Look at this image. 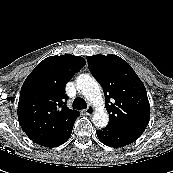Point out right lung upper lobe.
I'll return each mask as SVG.
<instances>
[{"mask_svg":"<svg viewBox=\"0 0 173 173\" xmlns=\"http://www.w3.org/2000/svg\"><path fill=\"white\" fill-rule=\"evenodd\" d=\"M80 56H51L41 61L26 78L18 103L20 126L40 144L57 135L80 115L66 106L65 85L84 67Z\"/></svg>","mask_w":173,"mask_h":173,"instance_id":"cb5924a9","label":"right lung upper lobe"}]
</instances>
